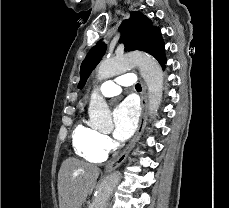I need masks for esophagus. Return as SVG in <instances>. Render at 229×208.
<instances>
[{
    "label": "esophagus",
    "instance_id": "esophagus-1",
    "mask_svg": "<svg viewBox=\"0 0 229 208\" xmlns=\"http://www.w3.org/2000/svg\"><path fill=\"white\" fill-rule=\"evenodd\" d=\"M142 83V92H141V107L142 113L139 119L138 127L136 133L132 140L127 144L124 150L110 163L105 166V173L112 172L116 170L128 157L130 151L134 148L137 141L140 139L148 119V100H147V87L146 84L141 80Z\"/></svg>",
    "mask_w": 229,
    "mask_h": 208
}]
</instances>
